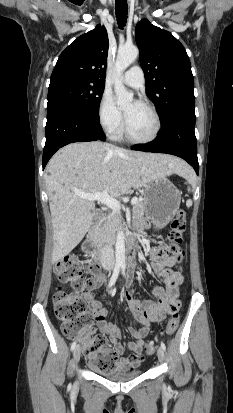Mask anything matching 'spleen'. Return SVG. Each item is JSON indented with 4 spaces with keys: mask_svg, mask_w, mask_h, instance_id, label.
<instances>
[{
    "mask_svg": "<svg viewBox=\"0 0 233 413\" xmlns=\"http://www.w3.org/2000/svg\"><path fill=\"white\" fill-rule=\"evenodd\" d=\"M184 175L189 179V184L192 185V184L194 183V177H193V175H192V174H188V172H186ZM188 191H191V188H190V187H188Z\"/></svg>",
    "mask_w": 233,
    "mask_h": 413,
    "instance_id": "obj_1",
    "label": "spleen"
}]
</instances>
